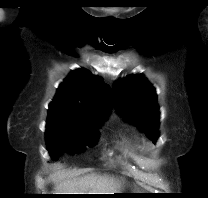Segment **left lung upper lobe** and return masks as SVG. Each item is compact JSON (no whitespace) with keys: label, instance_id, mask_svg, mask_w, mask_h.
<instances>
[{"label":"left lung upper lobe","instance_id":"5c2ea615","mask_svg":"<svg viewBox=\"0 0 208 198\" xmlns=\"http://www.w3.org/2000/svg\"><path fill=\"white\" fill-rule=\"evenodd\" d=\"M114 91L118 111L154 143L158 138L160 115L155 88L143 75L137 74L118 80L114 85Z\"/></svg>","mask_w":208,"mask_h":198}]
</instances>
